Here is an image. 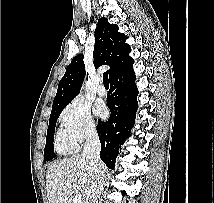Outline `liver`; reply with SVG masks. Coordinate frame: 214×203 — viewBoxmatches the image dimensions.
Returning a JSON list of instances; mask_svg holds the SVG:
<instances>
[{
    "mask_svg": "<svg viewBox=\"0 0 214 203\" xmlns=\"http://www.w3.org/2000/svg\"><path fill=\"white\" fill-rule=\"evenodd\" d=\"M89 172V164L82 154L53 163L46 173L48 202L65 203L72 192V184H77L85 203L91 184Z\"/></svg>",
    "mask_w": 214,
    "mask_h": 203,
    "instance_id": "1",
    "label": "liver"
}]
</instances>
